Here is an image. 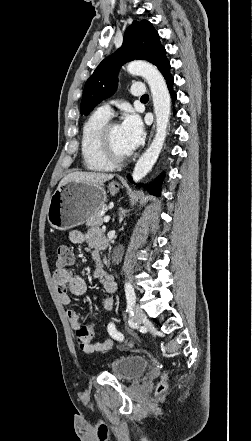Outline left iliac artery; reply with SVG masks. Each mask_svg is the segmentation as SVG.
Listing matches in <instances>:
<instances>
[{
	"label": "left iliac artery",
	"instance_id": "left-iliac-artery-1",
	"mask_svg": "<svg viewBox=\"0 0 252 441\" xmlns=\"http://www.w3.org/2000/svg\"><path fill=\"white\" fill-rule=\"evenodd\" d=\"M125 293H126V299H127V312H132L133 306L136 301V296L134 292V288L129 282L125 283ZM107 330L112 335V339L115 342H122L125 339V332L120 331L119 328L114 325L113 322L107 323Z\"/></svg>",
	"mask_w": 252,
	"mask_h": 441
}]
</instances>
